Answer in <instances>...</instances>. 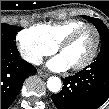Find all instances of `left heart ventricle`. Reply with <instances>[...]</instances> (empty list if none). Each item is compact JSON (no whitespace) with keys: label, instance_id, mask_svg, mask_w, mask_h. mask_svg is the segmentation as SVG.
Returning <instances> with one entry per match:
<instances>
[{"label":"left heart ventricle","instance_id":"1","mask_svg":"<svg viewBox=\"0 0 109 109\" xmlns=\"http://www.w3.org/2000/svg\"><path fill=\"white\" fill-rule=\"evenodd\" d=\"M96 35L93 29H85L76 39V41L67 47L61 55L70 66L78 65L86 60L95 45Z\"/></svg>","mask_w":109,"mask_h":109}]
</instances>
